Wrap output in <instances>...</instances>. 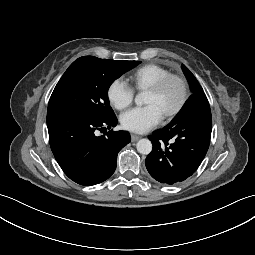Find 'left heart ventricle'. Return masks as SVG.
<instances>
[{
    "label": "left heart ventricle",
    "instance_id": "left-heart-ventricle-1",
    "mask_svg": "<svg viewBox=\"0 0 255 255\" xmlns=\"http://www.w3.org/2000/svg\"><path fill=\"white\" fill-rule=\"evenodd\" d=\"M181 85L176 80H171L161 91L157 93L146 92L145 103L156 105L163 115L172 110L181 98Z\"/></svg>",
    "mask_w": 255,
    "mask_h": 255
}]
</instances>
